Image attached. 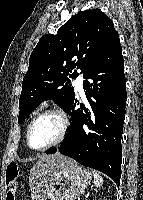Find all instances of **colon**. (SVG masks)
I'll use <instances>...</instances> for the list:
<instances>
[{
  "label": "colon",
  "mask_w": 143,
  "mask_h": 200,
  "mask_svg": "<svg viewBox=\"0 0 143 200\" xmlns=\"http://www.w3.org/2000/svg\"><path fill=\"white\" fill-rule=\"evenodd\" d=\"M18 176L19 170L15 163H11L6 169V189H7V200H14V194L18 188Z\"/></svg>",
  "instance_id": "5ec220e1"
}]
</instances>
